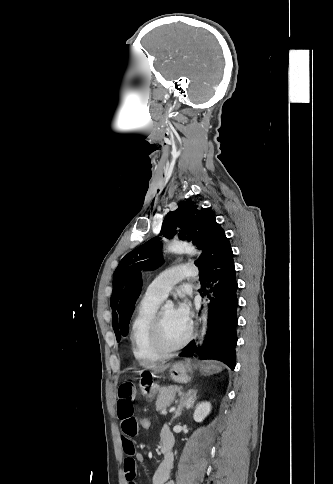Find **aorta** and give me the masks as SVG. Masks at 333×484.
I'll return each instance as SVG.
<instances>
[{"mask_svg":"<svg viewBox=\"0 0 333 484\" xmlns=\"http://www.w3.org/2000/svg\"><path fill=\"white\" fill-rule=\"evenodd\" d=\"M167 251L172 252V253H183L186 252L190 255H196L199 254L197 249L188 243L180 242V241H173L170 245L167 246ZM172 302L167 301L165 304V307L169 308L172 307ZM207 330V308L205 309L203 316H202V329H201V335L199 337V344L201 345L204 340V336L206 334Z\"/></svg>","mask_w":333,"mask_h":484,"instance_id":"aorta-1","label":"aorta"}]
</instances>
